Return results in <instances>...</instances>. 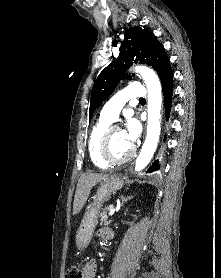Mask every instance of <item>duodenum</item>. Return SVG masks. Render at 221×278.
I'll return each mask as SVG.
<instances>
[{
	"label": "duodenum",
	"mask_w": 221,
	"mask_h": 278,
	"mask_svg": "<svg viewBox=\"0 0 221 278\" xmlns=\"http://www.w3.org/2000/svg\"><path fill=\"white\" fill-rule=\"evenodd\" d=\"M112 236H113V234L108 233V234L105 236V238H106V239H110V238H112Z\"/></svg>",
	"instance_id": "410a0bca"
}]
</instances>
